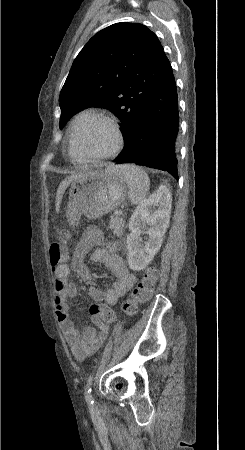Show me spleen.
<instances>
[{
	"label": "spleen",
	"instance_id": "spleen-1",
	"mask_svg": "<svg viewBox=\"0 0 245 450\" xmlns=\"http://www.w3.org/2000/svg\"><path fill=\"white\" fill-rule=\"evenodd\" d=\"M120 174L128 185V197L132 204H140L147 196L150 180L147 173L136 165L117 166Z\"/></svg>",
	"mask_w": 245,
	"mask_h": 450
}]
</instances>
